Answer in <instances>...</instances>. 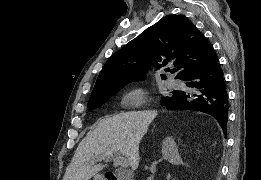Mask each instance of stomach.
<instances>
[{"label": "stomach", "mask_w": 261, "mask_h": 180, "mask_svg": "<svg viewBox=\"0 0 261 180\" xmlns=\"http://www.w3.org/2000/svg\"><path fill=\"white\" fill-rule=\"evenodd\" d=\"M93 180H105L104 177L101 175V174H96L94 177H93Z\"/></svg>", "instance_id": "1"}]
</instances>
